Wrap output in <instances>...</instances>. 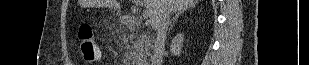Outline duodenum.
Returning <instances> with one entry per match:
<instances>
[{"label": "duodenum", "instance_id": "obj_1", "mask_svg": "<svg viewBox=\"0 0 309 65\" xmlns=\"http://www.w3.org/2000/svg\"><path fill=\"white\" fill-rule=\"evenodd\" d=\"M123 24L131 30H135L139 26L138 21L134 17L130 16H125L123 18Z\"/></svg>", "mask_w": 309, "mask_h": 65}]
</instances>
